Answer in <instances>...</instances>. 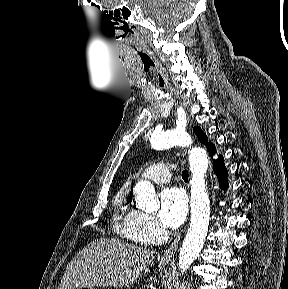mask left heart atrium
Wrapping results in <instances>:
<instances>
[{
    "mask_svg": "<svg viewBox=\"0 0 288 289\" xmlns=\"http://www.w3.org/2000/svg\"><path fill=\"white\" fill-rule=\"evenodd\" d=\"M158 217L160 222L170 228L178 227L187 212V198L180 188H165L159 194Z\"/></svg>",
    "mask_w": 288,
    "mask_h": 289,
    "instance_id": "39dd6f15",
    "label": "left heart atrium"
}]
</instances>
